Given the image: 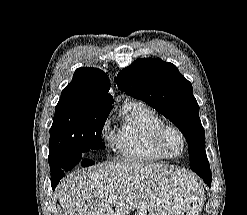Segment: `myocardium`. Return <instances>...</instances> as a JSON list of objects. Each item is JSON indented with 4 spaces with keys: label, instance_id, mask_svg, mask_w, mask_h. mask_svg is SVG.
Here are the masks:
<instances>
[{
    "label": "myocardium",
    "instance_id": "obj_1",
    "mask_svg": "<svg viewBox=\"0 0 247 215\" xmlns=\"http://www.w3.org/2000/svg\"><path fill=\"white\" fill-rule=\"evenodd\" d=\"M170 133H175L181 140V150L178 153H173L169 150L167 144V138ZM156 145L161 154L167 158H179L181 157L187 148V139L184 132L176 125L163 124L156 132Z\"/></svg>",
    "mask_w": 247,
    "mask_h": 215
}]
</instances>
